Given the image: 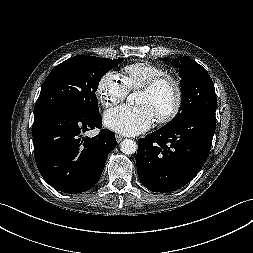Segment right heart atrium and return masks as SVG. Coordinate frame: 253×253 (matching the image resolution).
<instances>
[{
    "label": "right heart atrium",
    "mask_w": 253,
    "mask_h": 253,
    "mask_svg": "<svg viewBox=\"0 0 253 253\" xmlns=\"http://www.w3.org/2000/svg\"><path fill=\"white\" fill-rule=\"evenodd\" d=\"M96 92L100 103L105 108H111L127 97L129 89L118 74L110 71L101 77Z\"/></svg>",
    "instance_id": "1"
}]
</instances>
